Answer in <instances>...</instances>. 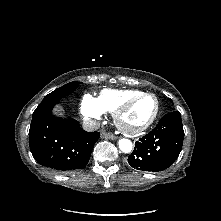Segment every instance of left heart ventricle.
Returning a JSON list of instances; mask_svg holds the SVG:
<instances>
[{
    "label": "left heart ventricle",
    "mask_w": 221,
    "mask_h": 221,
    "mask_svg": "<svg viewBox=\"0 0 221 221\" xmlns=\"http://www.w3.org/2000/svg\"><path fill=\"white\" fill-rule=\"evenodd\" d=\"M155 108L156 101L153 97H143L127 109L122 116V122L130 128L140 127L150 120Z\"/></svg>",
    "instance_id": "1"
}]
</instances>
